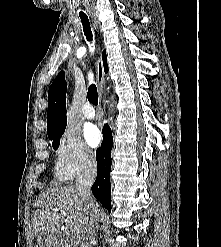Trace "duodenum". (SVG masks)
<instances>
[{
    "mask_svg": "<svg viewBox=\"0 0 221 247\" xmlns=\"http://www.w3.org/2000/svg\"><path fill=\"white\" fill-rule=\"evenodd\" d=\"M53 236H54V238H53L54 239V245H56L59 241L58 234L53 233Z\"/></svg>",
    "mask_w": 221,
    "mask_h": 247,
    "instance_id": "410a0bca",
    "label": "duodenum"
}]
</instances>
